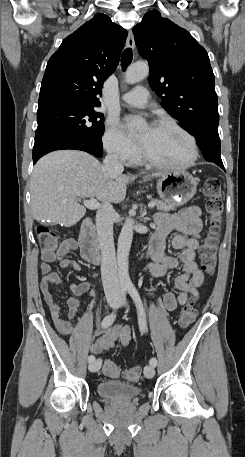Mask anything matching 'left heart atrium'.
I'll return each instance as SVG.
<instances>
[{
	"label": "left heart atrium",
	"mask_w": 245,
	"mask_h": 457,
	"mask_svg": "<svg viewBox=\"0 0 245 457\" xmlns=\"http://www.w3.org/2000/svg\"><path fill=\"white\" fill-rule=\"evenodd\" d=\"M131 119H132V117H128V118L126 119V121L129 122Z\"/></svg>",
	"instance_id": "39dd6f15"
}]
</instances>
